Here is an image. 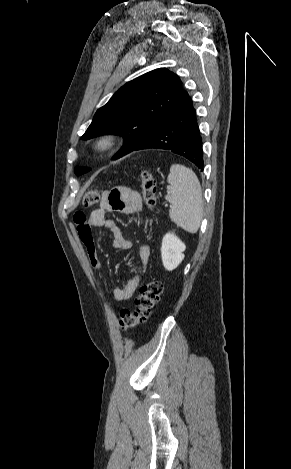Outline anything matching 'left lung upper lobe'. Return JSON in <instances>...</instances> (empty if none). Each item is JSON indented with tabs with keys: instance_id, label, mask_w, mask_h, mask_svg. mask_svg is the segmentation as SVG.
<instances>
[{
	"instance_id": "1",
	"label": "left lung upper lobe",
	"mask_w": 291,
	"mask_h": 469,
	"mask_svg": "<svg viewBox=\"0 0 291 469\" xmlns=\"http://www.w3.org/2000/svg\"><path fill=\"white\" fill-rule=\"evenodd\" d=\"M187 92L173 72L159 68L126 83L97 110L81 137L119 134L125 145L113 157L118 159L137 146L176 107ZM89 169L75 168L77 175Z\"/></svg>"
}]
</instances>
